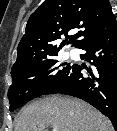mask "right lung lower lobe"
<instances>
[{
  "label": "right lung lower lobe",
  "mask_w": 117,
  "mask_h": 131,
  "mask_svg": "<svg viewBox=\"0 0 117 131\" xmlns=\"http://www.w3.org/2000/svg\"><path fill=\"white\" fill-rule=\"evenodd\" d=\"M81 55L89 66L73 64L60 87V93L88 102L106 115L117 131V28L83 47Z\"/></svg>",
  "instance_id": "obj_1"
}]
</instances>
